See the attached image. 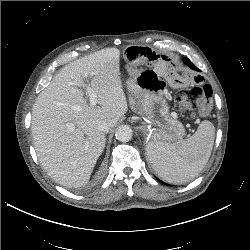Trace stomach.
I'll return each mask as SVG.
<instances>
[{"instance_id":"1","label":"stomach","mask_w":250,"mask_h":250,"mask_svg":"<svg viewBox=\"0 0 250 250\" xmlns=\"http://www.w3.org/2000/svg\"><path fill=\"white\" fill-rule=\"evenodd\" d=\"M130 78L127 81L133 111L160 127L153 138L171 141L184 135V127L169 113L164 82L148 66L156 61L153 49L143 45H128L123 51Z\"/></svg>"}]
</instances>
